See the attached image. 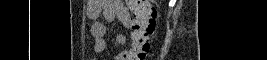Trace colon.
<instances>
[{
  "label": "colon",
  "mask_w": 267,
  "mask_h": 60,
  "mask_svg": "<svg viewBox=\"0 0 267 60\" xmlns=\"http://www.w3.org/2000/svg\"><path fill=\"white\" fill-rule=\"evenodd\" d=\"M133 20L135 39L132 41V60H145L150 51V38L154 34L157 21L152 0H128Z\"/></svg>",
  "instance_id": "colon-1"
}]
</instances>
